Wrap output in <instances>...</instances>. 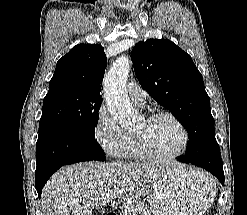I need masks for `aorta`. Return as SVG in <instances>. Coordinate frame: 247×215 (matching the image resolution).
<instances>
[{
	"label": "aorta",
	"instance_id": "1",
	"mask_svg": "<svg viewBox=\"0 0 247 215\" xmlns=\"http://www.w3.org/2000/svg\"><path fill=\"white\" fill-rule=\"evenodd\" d=\"M129 72V58L120 56L113 63L104 81L107 109L123 128L135 125L138 118V113L130 103L126 88Z\"/></svg>",
	"mask_w": 247,
	"mask_h": 215
}]
</instances>
